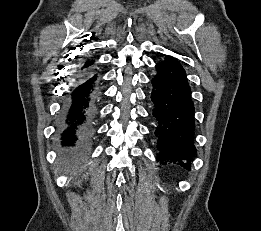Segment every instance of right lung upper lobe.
<instances>
[{"label": "right lung upper lobe", "instance_id": "1", "mask_svg": "<svg viewBox=\"0 0 261 231\" xmlns=\"http://www.w3.org/2000/svg\"><path fill=\"white\" fill-rule=\"evenodd\" d=\"M93 63H94L93 60H86V61L83 63V65L80 67L78 73L81 74V73H83V72H86V71L92 69Z\"/></svg>", "mask_w": 261, "mask_h": 231}]
</instances>
